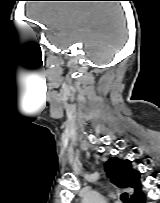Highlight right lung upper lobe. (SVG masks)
<instances>
[{
	"label": "right lung upper lobe",
	"mask_w": 160,
	"mask_h": 203,
	"mask_svg": "<svg viewBox=\"0 0 160 203\" xmlns=\"http://www.w3.org/2000/svg\"><path fill=\"white\" fill-rule=\"evenodd\" d=\"M105 169L108 177L117 187L134 189L130 202L138 203L144 194L141 192L140 173L132 169L131 161L113 157L105 163Z\"/></svg>",
	"instance_id": "right-lung-upper-lobe-1"
}]
</instances>
